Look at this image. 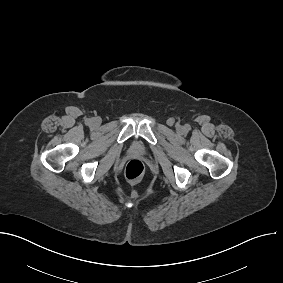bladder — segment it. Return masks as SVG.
Segmentation results:
<instances>
[{
    "label": "bladder",
    "instance_id": "1",
    "mask_svg": "<svg viewBox=\"0 0 283 283\" xmlns=\"http://www.w3.org/2000/svg\"><path fill=\"white\" fill-rule=\"evenodd\" d=\"M131 149L135 152H139V153H144L145 152V147L139 143V142H136L132 145Z\"/></svg>",
    "mask_w": 283,
    "mask_h": 283
}]
</instances>
